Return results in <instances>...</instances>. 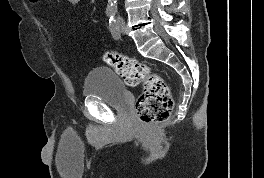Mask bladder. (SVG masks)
<instances>
[{"instance_id":"bladder-1","label":"bladder","mask_w":264,"mask_h":178,"mask_svg":"<svg viewBox=\"0 0 264 178\" xmlns=\"http://www.w3.org/2000/svg\"><path fill=\"white\" fill-rule=\"evenodd\" d=\"M82 91L85 98L100 100L114 108L123 107L128 100L122 79L106 67H96L89 71L83 81Z\"/></svg>"}]
</instances>
